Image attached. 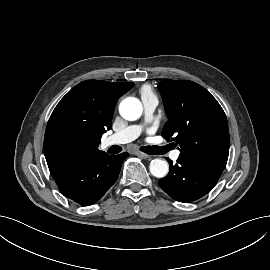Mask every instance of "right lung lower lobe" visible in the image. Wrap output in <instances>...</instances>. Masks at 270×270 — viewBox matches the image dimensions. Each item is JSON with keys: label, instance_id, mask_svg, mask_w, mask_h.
Segmentation results:
<instances>
[{"label": "right lung lower lobe", "instance_id": "obj_1", "mask_svg": "<svg viewBox=\"0 0 270 270\" xmlns=\"http://www.w3.org/2000/svg\"><path fill=\"white\" fill-rule=\"evenodd\" d=\"M129 154L111 156L105 152L51 171L64 196L86 206L97 202L115 183L122 162Z\"/></svg>", "mask_w": 270, "mask_h": 270}]
</instances>
